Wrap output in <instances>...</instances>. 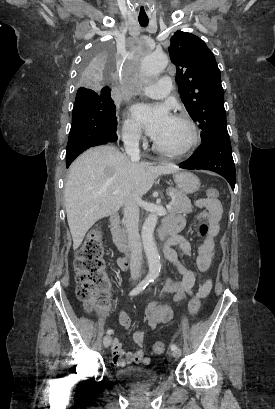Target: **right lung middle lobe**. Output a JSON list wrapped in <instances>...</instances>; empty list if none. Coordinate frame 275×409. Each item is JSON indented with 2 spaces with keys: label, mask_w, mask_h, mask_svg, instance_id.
Returning a JSON list of instances; mask_svg holds the SVG:
<instances>
[{
  "label": "right lung middle lobe",
  "mask_w": 275,
  "mask_h": 409,
  "mask_svg": "<svg viewBox=\"0 0 275 409\" xmlns=\"http://www.w3.org/2000/svg\"><path fill=\"white\" fill-rule=\"evenodd\" d=\"M93 50H86L77 78L78 90H102L112 85L116 70L114 60L119 50H112V42H93ZM119 96H99L90 92H77L69 133L65 172L78 155L90 147L114 142L117 139L116 106Z\"/></svg>",
  "instance_id": "obj_1"
}]
</instances>
